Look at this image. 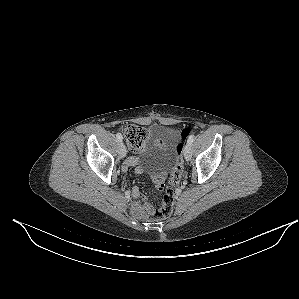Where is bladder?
Masks as SVG:
<instances>
[{"mask_svg":"<svg viewBox=\"0 0 299 299\" xmlns=\"http://www.w3.org/2000/svg\"><path fill=\"white\" fill-rule=\"evenodd\" d=\"M179 135L175 130L156 127L145 147L140 164L144 168L166 170L171 168L178 157Z\"/></svg>","mask_w":299,"mask_h":299,"instance_id":"1","label":"bladder"}]
</instances>
